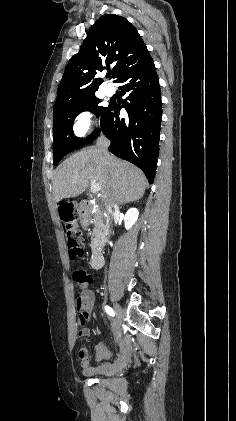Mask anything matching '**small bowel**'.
Segmentation results:
<instances>
[{
	"instance_id": "1",
	"label": "small bowel",
	"mask_w": 236,
	"mask_h": 421,
	"mask_svg": "<svg viewBox=\"0 0 236 421\" xmlns=\"http://www.w3.org/2000/svg\"><path fill=\"white\" fill-rule=\"evenodd\" d=\"M93 302H94V296H93V293L90 291V290H88V291H86L80 298H79V300H78V306H80V307H82V308H84L85 310H87V311H89L90 309H91V307H92V305H93ZM80 335L81 336H88L89 335V330H87V329H83L81 332H80ZM102 352H106L103 348H99L98 349V357L100 358V355L102 354ZM107 353V352H106ZM108 354V353H107ZM79 358L81 359V361H82V364L84 365V367H85V370L86 371H89V368H88V356H87V351L85 352V354H84V356H79Z\"/></svg>"
}]
</instances>
